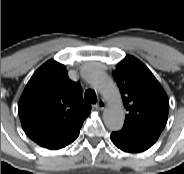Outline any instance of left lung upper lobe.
<instances>
[{"mask_svg":"<svg viewBox=\"0 0 184 174\" xmlns=\"http://www.w3.org/2000/svg\"><path fill=\"white\" fill-rule=\"evenodd\" d=\"M113 76L127 110L124 127L159 137L167 122L169 100L151 71L137 58L126 56Z\"/></svg>","mask_w":184,"mask_h":174,"instance_id":"left-lung-upper-lobe-1","label":"left lung upper lobe"}]
</instances>
